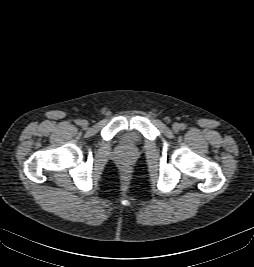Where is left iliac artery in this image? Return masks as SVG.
<instances>
[{
    "label": "left iliac artery",
    "instance_id": "1",
    "mask_svg": "<svg viewBox=\"0 0 254 267\" xmlns=\"http://www.w3.org/2000/svg\"><path fill=\"white\" fill-rule=\"evenodd\" d=\"M186 128V125L185 124H180V129L184 130Z\"/></svg>",
    "mask_w": 254,
    "mask_h": 267
}]
</instances>
